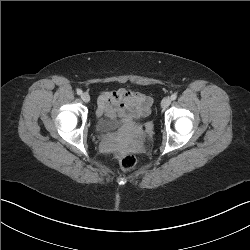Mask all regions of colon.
I'll return each instance as SVG.
<instances>
[{
    "mask_svg": "<svg viewBox=\"0 0 250 250\" xmlns=\"http://www.w3.org/2000/svg\"><path fill=\"white\" fill-rule=\"evenodd\" d=\"M113 156L124 171H129L136 165V158L133 155L126 154L120 150H114Z\"/></svg>",
    "mask_w": 250,
    "mask_h": 250,
    "instance_id": "colon-1",
    "label": "colon"
}]
</instances>
